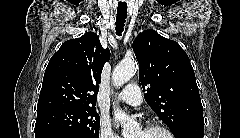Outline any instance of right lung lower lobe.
I'll return each mask as SVG.
<instances>
[{
  "label": "right lung lower lobe",
  "instance_id": "right-lung-lower-lobe-1",
  "mask_svg": "<svg viewBox=\"0 0 240 138\" xmlns=\"http://www.w3.org/2000/svg\"><path fill=\"white\" fill-rule=\"evenodd\" d=\"M35 138H72V137L63 133L49 132V133L35 134Z\"/></svg>",
  "mask_w": 240,
  "mask_h": 138
}]
</instances>
